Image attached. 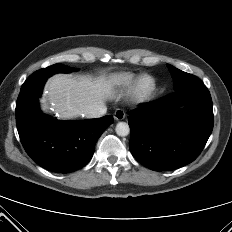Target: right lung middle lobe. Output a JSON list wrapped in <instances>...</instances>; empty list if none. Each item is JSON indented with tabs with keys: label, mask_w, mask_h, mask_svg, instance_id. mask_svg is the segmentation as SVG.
Here are the masks:
<instances>
[{
	"label": "right lung middle lobe",
	"mask_w": 232,
	"mask_h": 232,
	"mask_svg": "<svg viewBox=\"0 0 232 232\" xmlns=\"http://www.w3.org/2000/svg\"><path fill=\"white\" fill-rule=\"evenodd\" d=\"M73 70H76L75 68H71V67H67L63 64H54L52 66H49L47 68L44 69H40L36 72H34L23 84L22 87H26L32 84H35L37 82L40 81H45L47 80L48 77H50L51 75L55 74V73H60V72H71Z\"/></svg>",
	"instance_id": "right-lung-middle-lobe-1"
}]
</instances>
